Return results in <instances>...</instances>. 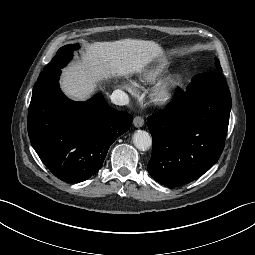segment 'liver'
<instances>
[{
    "instance_id": "liver-1",
    "label": "liver",
    "mask_w": 255,
    "mask_h": 255,
    "mask_svg": "<svg viewBox=\"0 0 255 255\" xmlns=\"http://www.w3.org/2000/svg\"><path fill=\"white\" fill-rule=\"evenodd\" d=\"M162 55V47L154 41L123 39L88 43L81 60L63 70L60 85L71 99L85 100L103 79L110 75L128 77L141 73L149 63Z\"/></svg>"
}]
</instances>
